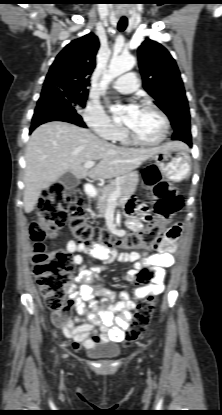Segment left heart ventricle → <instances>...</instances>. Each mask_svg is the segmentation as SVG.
<instances>
[{
  "mask_svg": "<svg viewBox=\"0 0 222 415\" xmlns=\"http://www.w3.org/2000/svg\"><path fill=\"white\" fill-rule=\"evenodd\" d=\"M123 123L139 138L146 141L159 139L164 129L161 117L154 110L144 107L138 108L133 116L125 114Z\"/></svg>",
  "mask_w": 222,
  "mask_h": 415,
  "instance_id": "1",
  "label": "left heart ventricle"
}]
</instances>
